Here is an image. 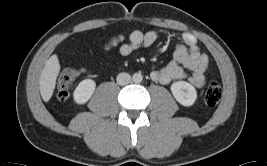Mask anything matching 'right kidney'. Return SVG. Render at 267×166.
Wrapping results in <instances>:
<instances>
[{
	"label": "right kidney",
	"instance_id": "right-kidney-1",
	"mask_svg": "<svg viewBox=\"0 0 267 166\" xmlns=\"http://www.w3.org/2000/svg\"><path fill=\"white\" fill-rule=\"evenodd\" d=\"M96 83L92 79L81 81L74 90L73 97L77 104L86 103L94 93Z\"/></svg>",
	"mask_w": 267,
	"mask_h": 166
}]
</instances>
